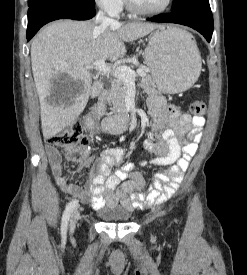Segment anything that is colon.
<instances>
[{
  "label": "colon",
  "instance_id": "1",
  "mask_svg": "<svg viewBox=\"0 0 247 275\" xmlns=\"http://www.w3.org/2000/svg\"><path fill=\"white\" fill-rule=\"evenodd\" d=\"M190 111L195 115H202L205 112V104L202 101H194L190 105ZM87 142L88 140L79 122L71 124L47 139L48 144L64 148L67 151V157L75 161L80 158V153L76 147L85 146Z\"/></svg>",
  "mask_w": 247,
  "mask_h": 275
}]
</instances>
